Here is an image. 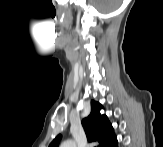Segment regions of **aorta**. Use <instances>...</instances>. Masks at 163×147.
I'll return each mask as SVG.
<instances>
[{
	"label": "aorta",
	"mask_w": 163,
	"mask_h": 147,
	"mask_svg": "<svg viewBox=\"0 0 163 147\" xmlns=\"http://www.w3.org/2000/svg\"><path fill=\"white\" fill-rule=\"evenodd\" d=\"M63 147H75V143L71 140H68L62 144Z\"/></svg>",
	"instance_id": "aorta-1"
}]
</instances>
